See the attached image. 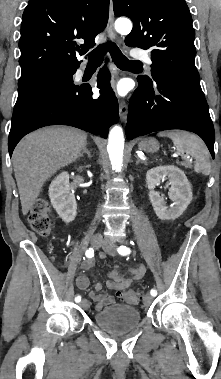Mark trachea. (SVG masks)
Returning <instances> with one entry per match:
<instances>
[{
	"instance_id": "3493384b",
	"label": "trachea",
	"mask_w": 221,
	"mask_h": 379,
	"mask_svg": "<svg viewBox=\"0 0 221 379\" xmlns=\"http://www.w3.org/2000/svg\"><path fill=\"white\" fill-rule=\"evenodd\" d=\"M109 51L114 63L120 69H127L137 64H142L140 61L128 60L121 50L113 42H108L99 46L94 50L88 58V65H100L102 63L103 55Z\"/></svg>"
}]
</instances>
